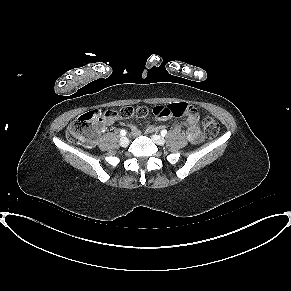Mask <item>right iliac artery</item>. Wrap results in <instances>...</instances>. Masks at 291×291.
I'll return each instance as SVG.
<instances>
[{"mask_svg":"<svg viewBox=\"0 0 291 291\" xmlns=\"http://www.w3.org/2000/svg\"><path fill=\"white\" fill-rule=\"evenodd\" d=\"M126 133H127L126 130H121V131H120V134H121L122 136H125Z\"/></svg>","mask_w":291,"mask_h":291,"instance_id":"82829eb1","label":"right iliac artery"}]
</instances>
